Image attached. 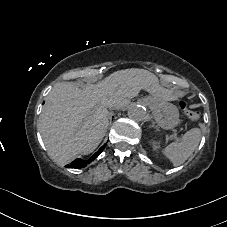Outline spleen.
<instances>
[{"instance_id": "1", "label": "spleen", "mask_w": 227, "mask_h": 227, "mask_svg": "<svg viewBox=\"0 0 227 227\" xmlns=\"http://www.w3.org/2000/svg\"><path fill=\"white\" fill-rule=\"evenodd\" d=\"M200 140L201 130L199 128H192L183 135L180 141L169 144L163 150V154L177 167L193 154Z\"/></svg>"}]
</instances>
